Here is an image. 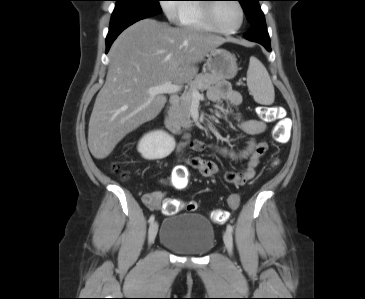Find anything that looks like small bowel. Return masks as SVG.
<instances>
[{
  "mask_svg": "<svg viewBox=\"0 0 365 299\" xmlns=\"http://www.w3.org/2000/svg\"><path fill=\"white\" fill-rule=\"evenodd\" d=\"M209 99L213 103H227L231 106H237L242 101L240 93L229 87L226 83H221L217 87L211 89L209 92ZM237 124L239 129L249 136L246 146L239 151H234L227 147H219L217 151L224 157L233 160H244L246 162L243 169L238 171H226L224 174V179L228 183L235 186H242L254 177L256 168L267 151V143L265 141L259 142L256 140V137L266 130V124L261 120L244 119L241 117L237 118ZM206 147L207 145L204 142L191 140L190 136L185 134L183 140L178 144L176 152L179 156H183L187 149L201 151ZM187 167L196 169L206 178H213L220 171L219 166L211 160L200 157H189L186 159V165H178L175 167L173 178L166 181V184L176 187V175L184 174ZM163 199L164 193L161 191H152L143 196L146 206L150 209H159L162 206Z\"/></svg>",
  "mask_w": 365,
  "mask_h": 299,
  "instance_id": "1",
  "label": "small bowel"
}]
</instances>
